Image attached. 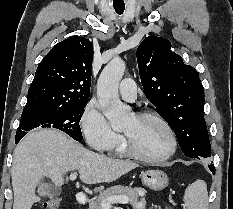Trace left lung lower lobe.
I'll return each mask as SVG.
<instances>
[{
    "label": "left lung lower lobe",
    "mask_w": 233,
    "mask_h": 209,
    "mask_svg": "<svg viewBox=\"0 0 233 209\" xmlns=\"http://www.w3.org/2000/svg\"><path fill=\"white\" fill-rule=\"evenodd\" d=\"M209 169L211 170V172L213 173V174H215V167H214V165H209Z\"/></svg>",
    "instance_id": "obj_1"
}]
</instances>
